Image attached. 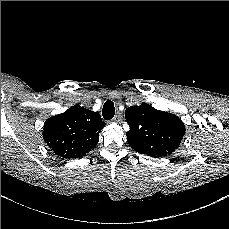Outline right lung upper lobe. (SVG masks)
<instances>
[{
  "instance_id": "right-lung-upper-lobe-1",
  "label": "right lung upper lobe",
  "mask_w": 229,
  "mask_h": 229,
  "mask_svg": "<svg viewBox=\"0 0 229 229\" xmlns=\"http://www.w3.org/2000/svg\"><path fill=\"white\" fill-rule=\"evenodd\" d=\"M104 126L98 112L75 105L45 121L43 138L58 156L77 158L95 148Z\"/></svg>"
}]
</instances>
